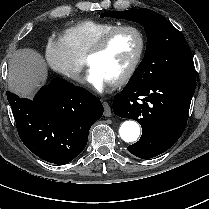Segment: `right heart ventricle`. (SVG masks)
I'll return each mask as SVG.
<instances>
[{
  "mask_svg": "<svg viewBox=\"0 0 209 209\" xmlns=\"http://www.w3.org/2000/svg\"><path fill=\"white\" fill-rule=\"evenodd\" d=\"M118 25L112 21L83 20L66 27L63 36L77 56L85 57L103 34Z\"/></svg>",
  "mask_w": 209,
  "mask_h": 209,
  "instance_id": "e07e8e85",
  "label": "right heart ventricle"
}]
</instances>
